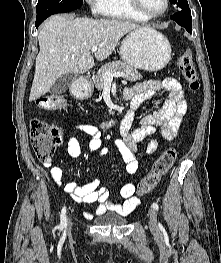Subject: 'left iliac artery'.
<instances>
[{"label": "left iliac artery", "instance_id": "44dca946", "mask_svg": "<svg viewBox=\"0 0 221 263\" xmlns=\"http://www.w3.org/2000/svg\"><path fill=\"white\" fill-rule=\"evenodd\" d=\"M152 207H153L155 210H157V211H158V209H159L158 204L155 203V202L152 204ZM160 227H161V225H160Z\"/></svg>", "mask_w": 221, "mask_h": 263}]
</instances>
